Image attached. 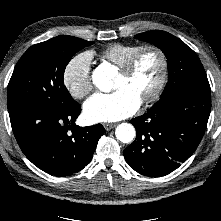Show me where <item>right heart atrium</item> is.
Returning a JSON list of instances; mask_svg holds the SVG:
<instances>
[{
    "label": "right heart atrium",
    "instance_id": "1",
    "mask_svg": "<svg viewBox=\"0 0 221 221\" xmlns=\"http://www.w3.org/2000/svg\"><path fill=\"white\" fill-rule=\"evenodd\" d=\"M91 61V53L83 52L71 58L64 69V85L76 99L84 98L92 90Z\"/></svg>",
    "mask_w": 221,
    "mask_h": 221
}]
</instances>
